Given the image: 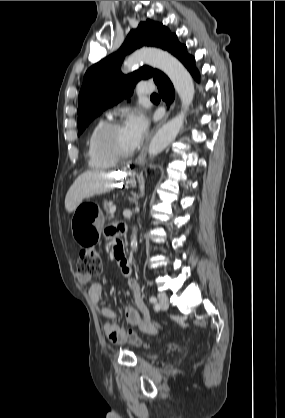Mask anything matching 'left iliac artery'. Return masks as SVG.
Segmentation results:
<instances>
[{"label": "left iliac artery", "instance_id": "1", "mask_svg": "<svg viewBox=\"0 0 285 418\" xmlns=\"http://www.w3.org/2000/svg\"><path fill=\"white\" fill-rule=\"evenodd\" d=\"M149 301H150V303H156V298L154 297V296H151L150 298H149Z\"/></svg>", "mask_w": 285, "mask_h": 418}]
</instances>
